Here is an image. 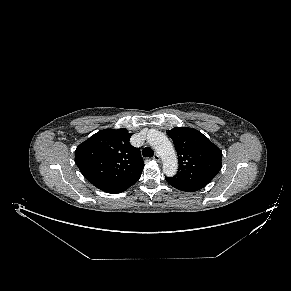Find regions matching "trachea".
Instances as JSON below:
<instances>
[{"mask_svg": "<svg viewBox=\"0 0 291 291\" xmlns=\"http://www.w3.org/2000/svg\"><path fill=\"white\" fill-rule=\"evenodd\" d=\"M154 155L153 150L150 147H145L143 150L144 157H152Z\"/></svg>", "mask_w": 291, "mask_h": 291, "instance_id": "obj_1", "label": "trachea"}]
</instances>
